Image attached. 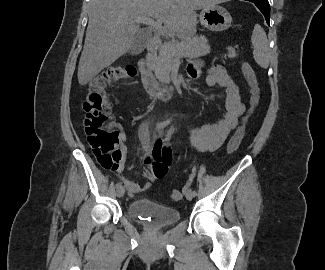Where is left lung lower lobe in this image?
I'll return each mask as SVG.
<instances>
[{"mask_svg": "<svg viewBox=\"0 0 325 270\" xmlns=\"http://www.w3.org/2000/svg\"><path fill=\"white\" fill-rule=\"evenodd\" d=\"M256 4L258 9L263 13L265 16L266 22L269 24L270 18V5L268 0H247Z\"/></svg>", "mask_w": 325, "mask_h": 270, "instance_id": "0a47b994", "label": "left lung lower lobe"}]
</instances>
